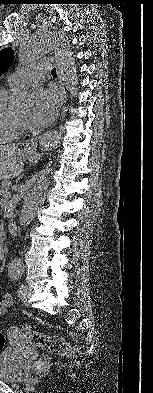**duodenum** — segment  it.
I'll return each instance as SVG.
<instances>
[{"label": "duodenum", "instance_id": "obj_1", "mask_svg": "<svg viewBox=\"0 0 153 393\" xmlns=\"http://www.w3.org/2000/svg\"><path fill=\"white\" fill-rule=\"evenodd\" d=\"M7 230L11 234H16L18 231V224L16 222H10L7 224Z\"/></svg>", "mask_w": 153, "mask_h": 393}]
</instances>
